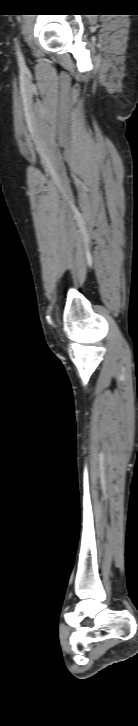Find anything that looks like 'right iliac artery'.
<instances>
[{"instance_id":"1","label":"right iliac artery","mask_w":138,"mask_h":726,"mask_svg":"<svg viewBox=\"0 0 138 726\" xmlns=\"http://www.w3.org/2000/svg\"><path fill=\"white\" fill-rule=\"evenodd\" d=\"M17 57H18V61H19V63H20V64H23L24 60H23V56H22V54H21V51H20V49H19V46H17Z\"/></svg>"}]
</instances>
